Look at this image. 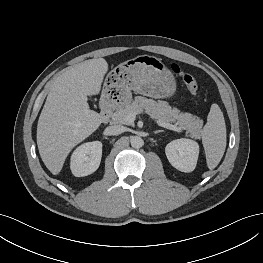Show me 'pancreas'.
<instances>
[{"label": "pancreas", "instance_id": "obj_1", "mask_svg": "<svg viewBox=\"0 0 263 263\" xmlns=\"http://www.w3.org/2000/svg\"><path fill=\"white\" fill-rule=\"evenodd\" d=\"M143 111L156 121L179 125L192 138L199 139L201 137L203 120L190 113H182L177 108H171L167 102H157L142 96L135 97L134 101L130 104L118 109L113 115V122L116 124L132 125V122L127 121V115L130 113L137 115Z\"/></svg>", "mask_w": 263, "mask_h": 263}]
</instances>
